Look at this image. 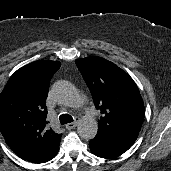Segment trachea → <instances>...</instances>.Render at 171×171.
<instances>
[{
    "label": "trachea",
    "instance_id": "1",
    "mask_svg": "<svg viewBox=\"0 0 171 171\" xmlns=\"http://www.w3.org/2000/svg\"><path fill=\"white\" fill-rule=\"evenodd\" d=\"M62 125L73 122V117L69 114H61L59 117Z\"/></svg>",
    "mask_w": 171,
    "mask_h": 171
}]
</instances>
